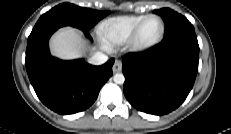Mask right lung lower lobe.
<instances>
[{"label": "right lung lower lobe", "mask_w": 231, "mask_h": 134, "mask_svg": "<svg viewBox=\"0 0 231 134\" xmlns=\"http://www.w3.org/2000/svg\"><path fill=\"white\" fill-rule=\"evenodd\" d=\"M64 22L35 26L28 38L25 65L38 98L59 114H74L91 106L112 76L114 59L92 66L83 59L63 61L49 53L48 41ZM83 32L89 37L87 30Z\"/></svg>", "instance_id": "1"}]
</instances>
